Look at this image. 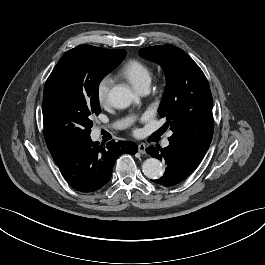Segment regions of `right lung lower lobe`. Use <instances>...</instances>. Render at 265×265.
<instances>
[{
    "label": "right lung lower lobe",
    "instance_id": "1",
    "mask_svg": "<svg viewBox=\"0 0 265 265\" xmlns=\"http://www.w3.org/2000/svg\"><path fill=\"white\" fill-rule=\"evenodd\" d=\"M137 149L134 142L114 140L104 148L88 137L53 159L72 188L93 192L110 180L114 163L121 154H135Z\"/></svg>",
    "mask_w": 265,
    "mask_h": 265
}]
</instances>
